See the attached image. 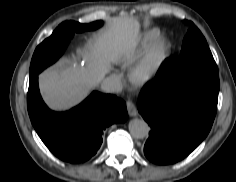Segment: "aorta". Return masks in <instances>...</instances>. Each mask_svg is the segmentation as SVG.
<instances>
[{
  "label": "aorta",
  "instance_id": "obj_1",
  "mask_svg": "<svg viewBox=\"0 0 236 182\" xmlns=\"http://www.w3.org/2000/svg\"><path fill=\"white\" fill-rule=\"evenodd\" d=\"M130 134L136 139H144L148 136L149 126L142 119H132L128 124Z\"/></svg>",
  "mask_w": 236,
  "mask_h": 182
}]
</instances>
